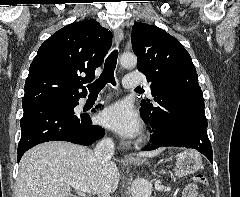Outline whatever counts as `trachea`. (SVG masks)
<instances>
[{"mask_svg":"<svg viewBox=\"0 0 240 197\" xmlns=\"http://www.w3.org/2000/svg\"><path fill=\"white\" fill-rule=\"evenodd\" d=\"M118 51H112L107 59L105 60L104 69L100 77L92 84L87 86L90 94H98L107 83H111L113 86L116 85L114 71L117 64Z\"/></svg>","mask_w":240,"mask_h":197,"instance_id":"trachea-1","label":"trachea"}]
</instances>
